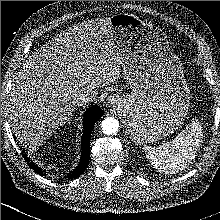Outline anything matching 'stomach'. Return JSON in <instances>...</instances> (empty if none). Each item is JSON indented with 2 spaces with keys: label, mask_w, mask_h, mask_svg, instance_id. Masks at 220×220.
Instances as JSON below:
<instances>
[{
  "label": "stomach",
  "mask_w": 220,
  "mask_h": 220,
  "mask_svg": "<svg viewBox=\"0 0 220 220\" xmlns=\"http://www.w3.org/2000/svg\"><path fill=\"white\" fill-rule=\"evenodd\" d=\"M110 26L132 89L120 105L126 131L135 144L154 143L186 118L191 96L182 64L158 27L132 14L113 15Z\"/></svg>",
  "instance_id": "obj_1"
}]
</instances>
